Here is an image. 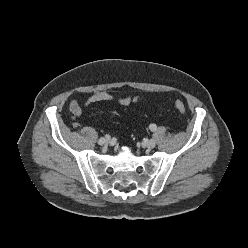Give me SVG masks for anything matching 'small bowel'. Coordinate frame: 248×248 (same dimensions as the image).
I'll use <instances>...</instances> for the list:
<instances>
[{"label": "small bowel", "mask_w": 248, "mask_h": 248, "mask_svg": "<svg viewBox=\"0 0 248 248\" xmlns=\"http://www.w3.org/2000/svg\"><path fill=\"white\" fill-rule=\"evenodd\" d=\"M114 100H115V97L111 93H109L107 91H96V92H93L85 100L84 105L89 106V105L96 103V102H101V101L110 102V101H114ZM141 100H142V98L140 96H126V97H122V98L117 99V104L121 107H125V106L132 104V103L140 102ZM69 110H70V113L74 119H76L77 117H79L81 115V107L77 103V101H75V100H72L70 102Z\"/></svg>", "instance_id": "small-bowel-1"}]
</instances>
